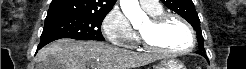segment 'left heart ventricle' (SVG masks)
I'll use <instances>...</instances> for the list:
<instances>
[{"mask_svg": "<svg viewBox=\"0 0 246 69\" xmlns=\"http://www.w3.org/2000/svg\"><path fill=\"white\" fill-rule=\"evenodd\" d=\"M139 32L152 44L170 49L180 48L190 40L186 28L176 19L168 20L157 29L152 28L147 21L139 28Z\"/></svg>", "mask_w": 246, "mask_h": 69, "instance_id": "1", "label": "left heart ventricle"}]
</instances>
